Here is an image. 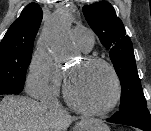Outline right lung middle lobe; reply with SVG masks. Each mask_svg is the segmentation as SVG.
Listing matches in <instances>:
<instances>
[{
  "mask_svg": "<svg viewBox=\"0 0 151 131\" xmlns=\"http://www.w3.org/2000/svg\"><path fill=\"white\" fill-rule=\"evenodd\" d=\"M32 48V44H0V95L18 94L23 90Z\"/></svg>",
  "mask_w": 151,
  "mask_h": 131,
  "instance_id": "obj_1",
  "label": "right lung middle lobe"
}]
</instances>
